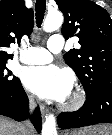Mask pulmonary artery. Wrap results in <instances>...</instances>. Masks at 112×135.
I'll return each mask as SVG.
<instances>
[{
  "label": "pulmonary artery",
  "instance_id": "pulmonary-artery-1",
  "mask_svg": "<svg viewBox=\"0 0 112 135\" xmlns=\"http://www.w3.org/2000/svg\"><path fill=\"white\" fill-rule=\"evenodd\" d=\"M61 36L53 35L47 42V48L28 47L20 50V61L25 64H45L52 60V53H59L63 49Z\"/></svg>",
  "mask_w": 112,
  "mask_h": 135
}]
</instances>
